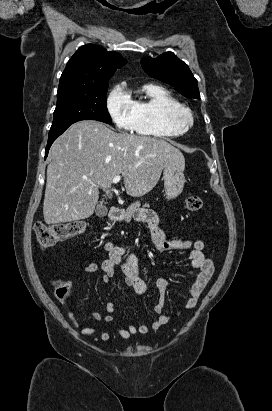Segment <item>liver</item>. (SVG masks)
Instances as JSON below:
<instances>
[{
  "mask_svg": "<svg viewBox=\"0 0 272 411\" xmlns=\"http://www.w3.org/2000/svg\"><path fill=\"white\" fill-rule=\"evenodd\" d=\"M168 164L184 170L185 159L165 140L116 133L96 121L74 123L50 149L44 221L58 224L90 217L99 188L110 186L120 174L128 195L143 196L156 186Z\"/></svg>",
  "mask_w": 272,
  "mask_h": 411,
  "instance_id": "obj_1",
  "label": "liver"
}]
</instances>
